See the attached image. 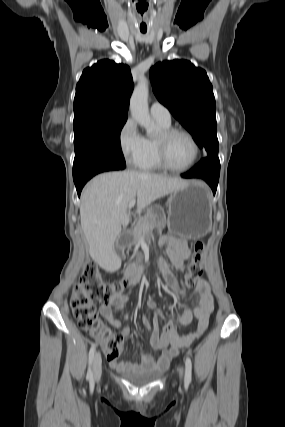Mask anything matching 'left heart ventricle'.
Listing matches in <instances>:
<instances>
[{
    "label": "left heart ventricle",
    "instance_id": "b2bd125f",
    "mask_svg": "<svg viewBox=\"0 0 285 427\" xmlns=\"http://www.w3.org/2000/svg\"><path fill=\"white\" fill-rule=\"evenodd\" d=\"M194 155V147L191 141L182 134L173 136L167 146V158L169 163L177 168L187 166Z\"/></svg>",
    "mask_w": 285,
    "mask_h": 427
}]
</instances>
